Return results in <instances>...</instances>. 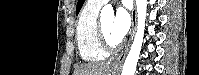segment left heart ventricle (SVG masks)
<instances>
[{
  "instance_id": "b2bd125f",
  "label": "left heart ventricle",
  "mask_w": 199,
  "mask_h": 75,
  "mask_svg": "<svg viewBox=\"0 0 199 75\" xmlns=\"http://www.w3.org/2000/svg\"><path fill=\"white\" fill-rule=\"evenodd\" d=\"M112 23H113V18H105L102 20L103 31L105 33L107 40L111 44H115V43H118L119 41L112 34V30H111Z\"/></svg>"
}]
</instances>
